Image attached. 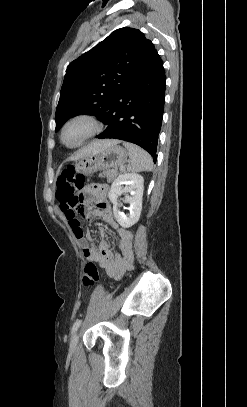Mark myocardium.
Masks as SVG:
<instances>
[{
    "mask_svg": "<svg viewBox=\"0 0 247 407\" xmlns=\"http://www.w3.org/2000/svg\"><path fill=\"white\" fill-rule=\"evenodd\" d=\"M77 121H85L90 125V130L76 143L74 144H67L64 141V133L66 129L74 122ZM103 128L102 122L98 119L97 116H95L92 113L89 112H79L71 117H69L61 126L60 132H59V140L60 143L68 149H76L78 147H81L84 145L87 141L98 135Z\"/></svg>",
    "mask_w": 247,
    "mask_h": 407,
    "instance_id": "f54148a6",
    "label": "myocardium"
}]
</instances>
